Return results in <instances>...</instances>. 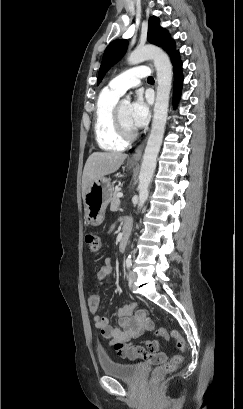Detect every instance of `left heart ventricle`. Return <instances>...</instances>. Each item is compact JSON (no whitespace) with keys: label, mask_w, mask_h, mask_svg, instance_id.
I'll return each mask as SVG.
<instances>
[{"label":"left heart ventricle","mask_w":243,"mask_h":409,"mask_svg":"<svg viewBox=\"0 0 243 409\" xmlns=\"http://www.w3.org/2000/svg\"><path fill=\"white\" fill-rule=\"evenodd\" d=\"M129 111H130V104L127 102L121 103L120 106V118L124 126L129 129L133 130L134 127L132 126L130 119H129Z\"/></svg>","instance_id":"left-heart-ventricle-1"}]
</instances>
